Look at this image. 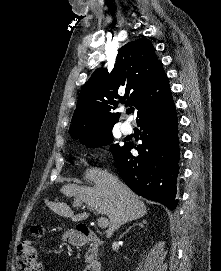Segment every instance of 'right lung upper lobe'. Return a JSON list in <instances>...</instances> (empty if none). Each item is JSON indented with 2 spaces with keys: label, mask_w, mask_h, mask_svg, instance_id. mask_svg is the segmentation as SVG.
Listing matches in <instances>:
<instances>
[{
  "label": "right lung upper lobe",
  "mask_w": 221,
  "mask_h": 271,
  "mask_svg": "<svg viewBox=\"0 0 221 271\" xmlns=\"http://www.w3.org/2000/svg\"><path fill=\"white\" fill-rule=\"evenodd\" d=\"M172 100L155 48L148 39L140 38L120 48L110 74L106 69H97L82 87L69 133L75 139L112 129L120 117L112 110L119 102L135 106L138 121Z\"/></svg>",
  "instance_id": "cb5924a9"
}]
</instances>
